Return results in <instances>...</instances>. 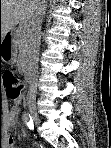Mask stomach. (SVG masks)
Listing matches in <instances>:
<instances>
[{"label":"stomach","instance_id":"stomach-1","mask_svg":"<svg viewBox=\"0 0 111 148\" xmlns=\"http://www.w3.org/2000/svg\"><path fill=\"white\" fill-rule=\"evenodd\" d=\"M16 57V46L14 42H9L5 46L0 44V59L3 62L7 64H13L16 62Z\"/></svg>","mask_w":111,"mask_h":148}]
</instances>
